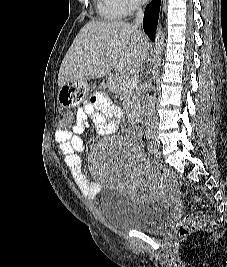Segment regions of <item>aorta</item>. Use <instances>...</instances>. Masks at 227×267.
Masks as SVG:
<instances>
[{"mask_svg": "<svg viewBox=\"0 0 227 267\" xmlns=\"http://www.w3.org/2000/svg\"><path fill=\"white\" fill-rule=\"evenodd\" d=\"M163 50H164V32L161 24L158 23L156 30L155 55H154V62L156 68L161 65Z\"/></svg>", "mask_w": 227, "mask_h": 267, "instance_id": "obj_1", "label": "aorta"}]
</instances>
